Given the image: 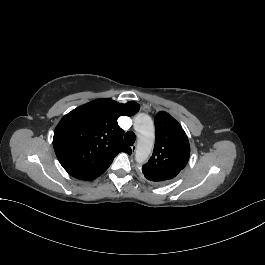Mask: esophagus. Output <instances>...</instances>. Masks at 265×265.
<instances>
[{
	"mask_svg": "<svg viewBox=\"0 0 265 265\" xmlns=\"http://www.w3.org/2000/svg\"><path fill=\"white\" fill-rule=\"evenodd\" d=\"M132 152H135L136 151V149H137V145L136 144H134L132 147Z\"/></svg>",
	"mask_w": 265,
	"mask_h": 265,
	"instance_id": "34e87169",
	"label": "esophagus"
}]
</instances>
